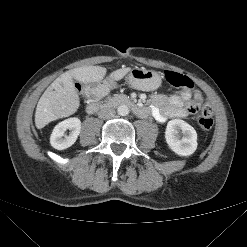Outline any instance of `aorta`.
<instances>
[{
    "mask_svg": "<svg viewBox=\"0 0 247 247\" xmlns=\"http://www.w3.org/2000/svg\"><path fill=\"white\" fill-rule=\"evenodd\" d=\"M129 112H130V109L125 104H122V105L118 106V108H117V113L120 116H127L129 114Z\"/></svg>",
    "mask_w": 247,
    "mask_h": 247,
    "instance_id": "obj_1",
    "label": "aorta"
}]
</instances>
